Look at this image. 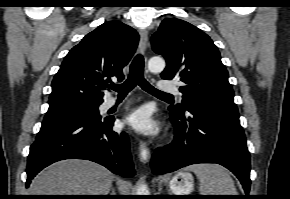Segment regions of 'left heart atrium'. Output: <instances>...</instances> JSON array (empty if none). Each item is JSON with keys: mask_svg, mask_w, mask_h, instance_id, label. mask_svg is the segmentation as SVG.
Masks as SVG:
<instances>
[{"mask_svg": "<svg viewBox=\"0 0 290 199\" xmlns=\"http://www.w3.org/2000/svg\"><path fill=\"white\" fill-rule=\"evenodd\" d=\"M125 123L135 131L144 135H154L159 130L158 122L153 118L149 107L143 106L131 112Z\"/></svg>", "mask_w": 290, "mask_h": 199, "instance_id": "1", "label": "left heart atrium"}]
</instances>
